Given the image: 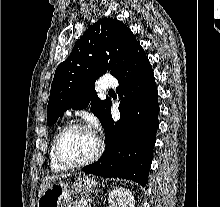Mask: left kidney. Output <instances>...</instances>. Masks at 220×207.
I'll use <instances>...</instances> for the list:
<instances>
[{
    "label": "left kidney",
    "mask_w": 220,
    "mask_h": 207,
    "mask_svg": "<svg viewBox=\"0 0 220 207\" xmlns=\"http://www.w3.org/2000/svg\"><path fill=\"white\" fill-rule=\"evenodd\" d=\"M109 207H134L135 199L132 192L125 188H115L109 193Z\"/></svg>",
    "instance_id": "left-kidney-1"
}]
</instances>
